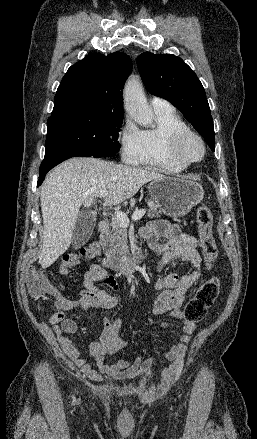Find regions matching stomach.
Listing matches in <instances>:
<instances>
[{
	"instance_id": "1",
	"label": "stomach",
	"mask_w": 257,
	"mask_h": 439,
	"mask_svg": "<svg viewBox=\"0 0 257 439\" xmlns=\"http://www.w3.org/2000/svg\"><path fill=\"white\" fill-rule=\"evenodd\" d=\"M151 197L168 216L188 214L204 197L203 187L188 177H162L153 180L149 187Z\"/></svg>"
}]
</instances>
